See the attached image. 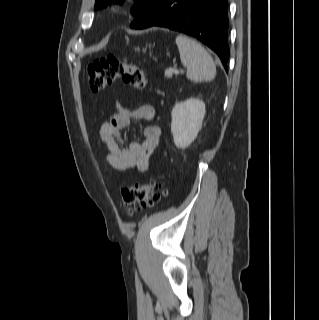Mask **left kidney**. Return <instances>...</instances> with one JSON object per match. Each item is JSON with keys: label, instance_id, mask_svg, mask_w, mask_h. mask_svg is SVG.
I'll list each match as a JSON object with an SVG mask.
<instances>
[{"label": "left kidney", "instance_id": "5707ae66", "mask_svg": "<svg viewBox=\"0 0 319 320\" xmlns=\"http://www.w3.org/2000/svg\"><path fill=\"white\" fill-rule=\"evenodd\" d=\"M171 132L178 148L188 147L197 137L205 116V103L190 98L172 109Z\"/></svg>", "mask_w": 319, "mask_h": 320}]
</instances>
